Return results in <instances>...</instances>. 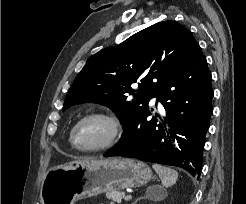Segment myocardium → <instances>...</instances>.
<instances>
[{
	"instance_id": "myocardium-1",
	"label": "myocardium",
	"mask_w": 246,
	"mask_h": 204,
	"mask_svg": "<svg viewBox=\"0 0 246 204\" xmlns=\"http://www.w3.org/2000/svg\"><path fill=\"white\" fill-rule=\"evenodd\" d=\"M90 119L103 120L109 125L110 130L107 137L98 145L92 147H82L77 143L76 132L83 122ZM121 135L122 124L115 115L104 111H94L83 115L76 121L70 132V141L77 150L82 152H99L113 147L119 141Z\"/></svg>"
}]
</instances>
